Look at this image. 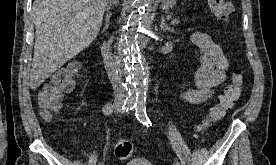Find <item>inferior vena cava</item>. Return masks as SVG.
I'll use <instances>...</instances> for the list:
<instances>
[{"label": "inferior vena cava", "instance_id": "602c4592", "mask_svg": "<svg viewBox=\"0 0 276 165\" xmlns=\"http://www.w3.org/2000/svg\"><path fill=\"white\" fill-rule=\"evenodd\" d=\"M104 64L107 70L108 77L114 89L115 100L119 102H123L125 95H124V89L121 84L120 77L118 75V67L115 61L112 59L111 53L109 52V49L107 46L104 47Z\"/></svg>", "mask_w": 276, "mask_h": 165}]
</instances>
